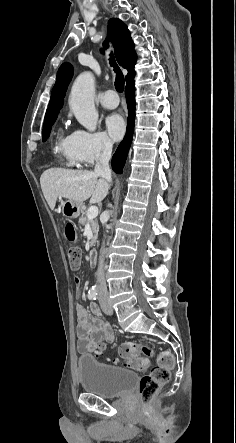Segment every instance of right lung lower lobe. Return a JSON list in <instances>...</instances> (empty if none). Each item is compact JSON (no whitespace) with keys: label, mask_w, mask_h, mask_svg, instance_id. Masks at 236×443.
Listing matches in <instances>:
<instances>
[{"label":"right lung lower lobe","mask_w":236,"mask_h":443,"mask_svg":"<svg viewBox=\"0 0 236 443\" xmlns=\"http://www.w3.org/2000/svg\"><path fill=\"white\" fill-rule=\"evenodd\" d=\"M134 76L135 72L131 73L126 77V97L128 104V123H127V135L125 137V143L122 142L116 153L112 158V169L116 173H122L123 166L125 164L127 154L132 142L133 131H134V121H135V87H134Z\"/></svg>","instance_id":"right-lung-lower-lobe-1"}]
</instances>
